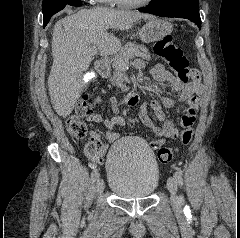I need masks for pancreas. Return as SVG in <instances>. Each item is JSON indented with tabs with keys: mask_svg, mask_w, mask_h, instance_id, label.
<instances>
[{
	"mask_svg": "<svg viewBox=\"0 0 240 238\" xmlns=\"http://www.w3.org/2000/svg\"><path fill=\"white\" fill-rule=\"evenodd\" d=\"M137 53L138 57L144 60H150L151 55L149 51L141 45L129 42L125 44L120 51L116 54L112 62V68L114 69L113 75L109 78L112 85L119 87L122 91H127L129 88L124 84L126 80V67L129 62L125 59V54L129 51Z\"/></svg>",
	"mask_w": 240,
	"mask_h": 238,
	"instance_id": "pancreas-1",
	"label": "pancreas"
}]
</instances>
